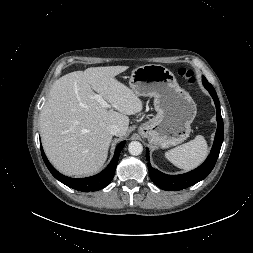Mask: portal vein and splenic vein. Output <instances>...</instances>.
<instances>
[{
    "mask_svg": "<svg viewBox=\"0 0 253 253\" xmlns=\"http://www.w3.org/2000/svg\"><path fill=\"white\" fill-rule=\"evenodd\" d=\"M94 98L105 108H110L111 106L114 107L113 105L108 104L100 94H95Z\"/></svg>",
    "mask_w": 253,
    "mask_h": 253,
    "instance_id": "1",
    "label": "portal vein and splenic vein"
}]
</instances>
